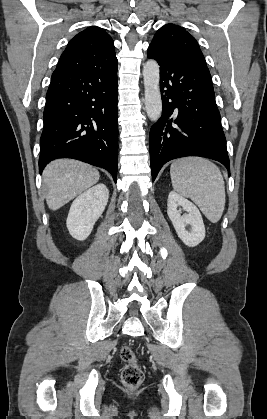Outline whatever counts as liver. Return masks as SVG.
Masks as SVG:
<instances>
[{"instance_id":"obj_1","label":"liver","mask_w":267,"mask_h":419,"mask_svg":"<svg viewBox=\"0 0 267 419\" xmlns=\"http://www.w3.org/2000/svg\"><path fill=\"white\" fill-rule=\"evenodd\" d=\"M99 177L97 169L77 160L59 159L51 162L43 172L48 207L54 211L61 208L96 184Z\"/></svg>"}]
</instances>
